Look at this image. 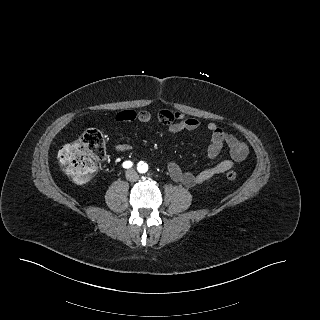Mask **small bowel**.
<instances>
[{
    "mask_svg": "<svg viewBox=\"0 0 320 320\" xmlns=\"http://www.w3.org/2000/svg\"><path fill=\"white\" fill-rule=\"evenodd\" d=\"M115 120L118 123L133 121L148 123L151 121V114L145 110H122L115 115ZM158 120L166 126V131L170 134L179 133L183 130H197L201 126L197 119L189 118L181 112L167 109L161 110L158 113ZM207 129L210 133V144L206 152L207 158L209 160L215 159L221 153L224 146L229 149L230 158L222 160L216 165L197 173L185 171L174 160H169L167 171L170 177L186 187L205 183L214 176L230 171L235 163L243 161L248 154L247 145L231 132L225 131L215 123H209ZM130 148L128 144H117L115 146L118 152L129 151Z\"/></svg>",
    "mask_w": 320,
    "mask_h": 320,
    "instance_id": "small-bowel-1",
    "label": "small bowel"
}]
</instances>
